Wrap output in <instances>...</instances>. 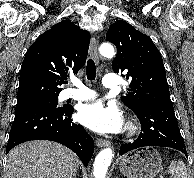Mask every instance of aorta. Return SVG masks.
<instances>
[{
	"label": "aorta",
	"instance_id": "obj_1",
	"mask_svg": "<svg viewBox=\"0 0 194 178\" xmlns=\"http://www.w3.org/2000/svg\"><path fill=\"white\" fill-rule=\"evenodd\" d=\"M99 52L106 58H112L115 55L114 47L109 43H103L99 48ZM113 156L111 148H105L99 152L93 164V175L95 178H105Z\"/></svg>",
	"mask_w": 194,
	"mask_h": 178
}]
</instances>
